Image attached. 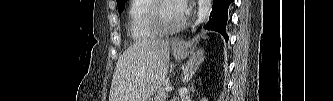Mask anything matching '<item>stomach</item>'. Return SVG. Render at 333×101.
I'll return each mask as SVG.
<instances>
[{"mask_svg":"<svg viewBox=\"0 0 333 101\" xmlns=\"http://www.w3.org/2000/svg\"><path fill=\"white\" fill-rule=\"evenodd\" d=\"M172 51L173 55L176 60L185 59L190 54L193 53L194 48L191 43L189 42H182V43H173L172 44Z\"/></svg>","mask_w":333,"mask_h":101,"instance_id":"obj_1","label":"stomach"}]
</instances>
